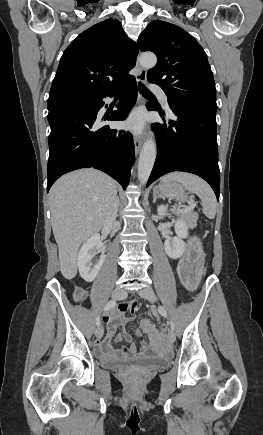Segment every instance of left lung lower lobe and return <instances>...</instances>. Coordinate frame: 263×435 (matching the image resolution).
<instances>
[{
  "label": "left lung lower lobe",
  "mask_w": 263,
  "mask_h": 435,
  "mask_svg": "<svg viewBox=\"0 0 263 435\" xmlns=\"http://www.w3.org/2000/svg\"><path fill=\"white\" fill-rule=\"evenodd\" d=\"M170 109L174 118L169 121L170 126L153 124L159 145L147 187L169 172H190L206 180L219 200L216 112L179 106H170ZM150 110H158L165 120L160 108L153 106Z\"/></svg>",
  "instance_id": "obj_1"
}]
</instances>
